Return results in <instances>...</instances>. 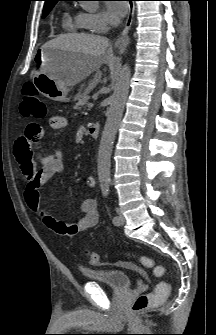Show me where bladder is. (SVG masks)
I'll list each match as a JSON object with an SVG mask.
<instances>
[{
  "mask_svg": "<svg viewBox=\"0 0 216 335\" xmlns=\"http://www.w3.org/2000/svg\"><path fill=\"white\" fill-rule=\"evenodd\" d=\"M82 275L87 279L104 284L115 291H126L131 287L129 272L119 269H81Z\"/></svg>",
  "mask_w": 216,
  "mask_h": 335,
  "instance_id": "bladder-1",
  "label": "bladder"
}]
</instances>
